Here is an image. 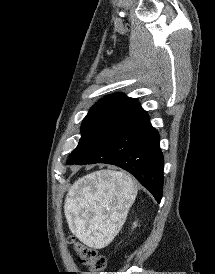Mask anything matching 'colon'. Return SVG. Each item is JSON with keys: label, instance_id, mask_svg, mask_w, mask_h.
I'll use <instances>...</instances> for the list:
<instances>
[{"label": "colon", "instance_id": "colon-1", "mask_svg": "<svg viewBox=\"0 0 215 274\" xmlns=\"http://www.w3.org/2000/svg\"><path fill=\"white\" fill-rule=\"evenodd\" d=\"M73 247L78 254V261L89 268L88 274H99L106 268V258L96 249L74 243Z\"/></svg>", "mask_w": 215, "mask_h": 274}]
</instances>
